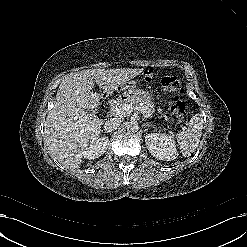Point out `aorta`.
Wrapping results in <instances>:
<instances>
[{
	"instance_id": "aorta-1",
	"label": "aorta",
	"mask_w": 247,
	"mask_h": 247,
	"mask_svg": "<svg viewBox=\"0 0 247 247\" xmlns=\"http://www.w3.org/2000/svg\"><path fill=\"white\" fill-rule=\"evenodd\" d=\"M126 128L128 131L137 132L139 130V124L137 121L133 120V121L127 122Z\"/></svg>"
}]
</instances>
